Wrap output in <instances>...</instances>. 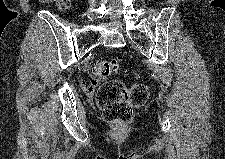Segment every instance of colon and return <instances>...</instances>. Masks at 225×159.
Segmentation results:
<instances>
[{"label": "colon", "instance_id": "5ec220e1", "mask_svg": "<svg viewBox=\"0 0 225 159\" xmlns=\"http://www.w3.org/2000/svg\"><path fill=\"white\" fill-rule=\"evenodd\" d=\"M61 8H66L70 0H57ZM121 58L99 59L94 64L93 74L96 81L105 80L97 91L96 102L103 118L117 126L128 123L133 109L143 106L149 95L145 84L137 83L127 87L122 81L108 80L117 73ZM137 78V74H134Z\"/></svg>", "mask_w": 225, "mask_h": 159}]
</instances>
